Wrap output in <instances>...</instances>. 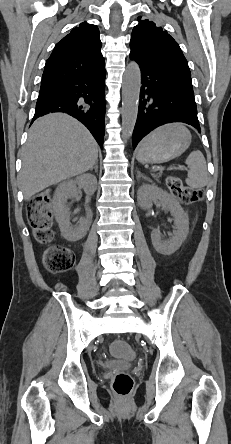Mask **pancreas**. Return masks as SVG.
<instances>
[{
    "instance_id": "1",
    "label": "pancreas",
    "mask_w": 231,
    "mask_h": 444,
    "mask_svg": "<svg viewBox=\"0 0 231 444\" xmlns=\"http://www.w3.org/2000/svg\"><path fill=\"white\" fill-rule=\"evenodd\" d=\"M152 176H153L155 179H158V178H160L161 175H160V173H158V174H153Z\"/></svg>"
}]
</instances>
